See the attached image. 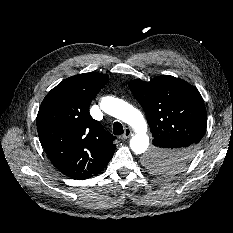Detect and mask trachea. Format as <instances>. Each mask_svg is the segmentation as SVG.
Segmentation results:
<instances>
[{
    "mask_svg": "<svg viewBox=\"0 0 233 233\" xmlns=\"http://www.w3.org/2000/svg\"><path fill=\"white\" fill-rule=\"evenodd\" d=\"M113 133L114 135H121L123 134V126L120 122H115L113 124Z\"/></svg>",
    "mask_w": 233,
    "mask_h": 233,
    "instance_id": "obj_1",
    "label": "trachea"
}]
</instances>
